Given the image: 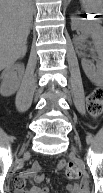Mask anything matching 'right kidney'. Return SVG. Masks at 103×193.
<instances>
[{
	"mask_svg": "<svg viewBox=\"0 0 103 193\" xmlns=\"http://www.w3.org/2000/svg\"><path fill=\"white\" fill-rule=\"evenodd\" d=\"M23 71L24 66L18 64L9 66L2 72L0 90L3 96H10L16 92Z\"/></svg>",
	"mask_w": 103,
	"mask_h": 193,
	"instance_id": "1",
	"label": "right kidney"
}]
</instances>
